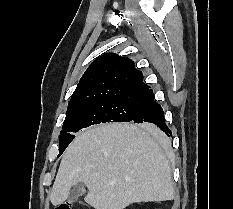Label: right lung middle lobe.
<instances>
[{
	"label": "right lung middle lobe",
	"mask_w": 233,
	"mask_h": 209,
	"mask_svg": "<svg viewBox=\"0 0 233 209\" xmlns=\"http://www.w3.org/2000/svg\"><path fill=\"white\" fill-rule=\"evenodd\" d=\"M145 105L123 101H99L78 106L66 113L63 130L60 132L59 155L75 138L73 133L91 125L106 122H130ZM144 128H149L142 125Z\"/></svg>",
	"instance_id": "right-lung-middle-lobe-1"
}]
</instances>
